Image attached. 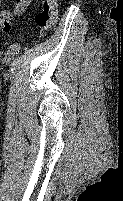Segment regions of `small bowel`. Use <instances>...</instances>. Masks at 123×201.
Segmentation results:
<instances>
[{"mask_svg":"<svg viewBox=\"0 0 123 201\" xmlns=\"http://www.w3.org/2000/svg\"><path fill=\"white\" fill-rule=\"evenodd\" d=\"M32 0H15L11 9L0 11V27L4 31H10L12 21L25 12Z\"/></svg>","mask_w":123,"mask_h":201,"instance_id":"small-bowel-1","label":"small bowel"}]
</instances>
